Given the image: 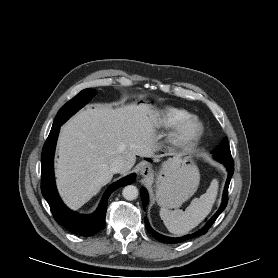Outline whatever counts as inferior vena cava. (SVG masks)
<instances>
[{"instance_id":"602c4592","label":"inferior vena cava","mask_w":278,"mask_h":278,"mask_svg":"<svg viewBox=\"0 0 278 278\" xmlns=\"http://www.w3.org/2000/svg\"><path fill=\"white\" fill-rule=\"evenodd\" d=\"M127 168L125 161L122 157H117L110 165V170L113 173H121Z\"/></svg>"}]
</instances>
